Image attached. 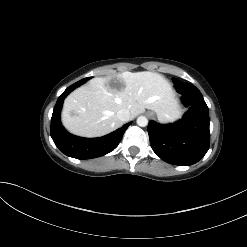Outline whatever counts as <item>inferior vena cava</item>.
<instances>
[{
    "label": "inferior vena cava",
    "mask_w": 247,
    "mask_h": 247,
    "mask_svg": "<svg viewBox=\"0 0 247 247\" xmlns=\"http://www.w3.org/2000/svg\"><path fill=\"white\" fill-rule=\"evenodd\" d=\"M117 118L122 122H126L130 119V112L128 109H121L117 112Z\"/></svg>",
    "instance_id": "1"
}]
</instances>
